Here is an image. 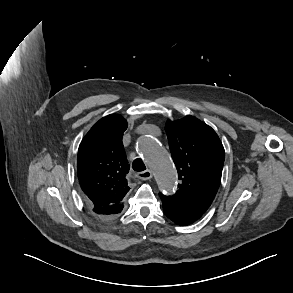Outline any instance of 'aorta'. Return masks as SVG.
<instances>
[{
	"label": "aorta",
	"instance_id": "obj_1",
	"mask_svg": "<svg viewBox=\"0 0 293 293\" xmlns=\"http://www.w3.org/2000/svg\"><path fill=\"white\" fill-rule=\"evenodd\" d=\"M138 149L154 170L159 189L168 195L173 194L177 173L168 152L151 136H142Z\"/></svg>",
	"mask_w": 293,
	"mask_h": 293
}]
</instances>
